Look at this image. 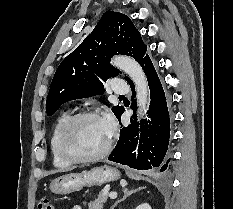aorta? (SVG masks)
<instances>
[{
  "instance_id": "obj_1",
  "label": "aorta",
  "mask_w": 233,
  "mask_h": 209,
  "mask_svg": "<svg viewBox=\"0 0 233 209\" xmlns=\"http://www.w3.org/2000/svg\"><path fill=\"white\" fill-rule=\"evenodd\" d=\"M112 64L126 73L134 82L137 97V115L143 118L147 111L149 100V87L147 78L139 63L128 56H116L112 59Z\"/></svg>"
}]
</instances>
